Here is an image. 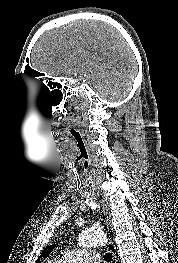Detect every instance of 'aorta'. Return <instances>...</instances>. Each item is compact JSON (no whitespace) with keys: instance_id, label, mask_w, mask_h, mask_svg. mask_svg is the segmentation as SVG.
I'll list each match as a JSON object with an SVG mask.
<instances>
[{"instance_id":"762f6f07","label":"aorta","mask_w":178,"mask_h":263,"mask_svg":"<svg viewBox=\"0 0 178 263\" xmlns=\"http://www.w3.org/2000/svg\"><path fill=\"white\" fill-rule=\"evenodd\" d=\"M107 242V238L103 232L85 230L78 237L80 247H95L103 246Z\"/></svg>"}]
</instances>
